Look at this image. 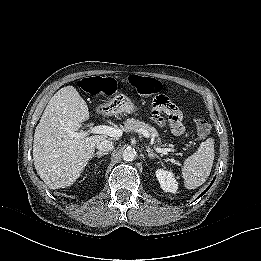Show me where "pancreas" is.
I'll use <instances>...</instances> for the list:
<instances>
[{
    "label": "pancreas",
    "instance_id": "pancreas-1",
    "mask_svg": "<svg viewBox=\"0 0 261 261\" xmlns=\"http://www.w3.org/2000/svg\"><path fill=\"white\" fill-rule=\"evenodd\" d=\"M124 128L128 132H135L139 129H143L147 131L153 139H156V142H160L157 130L151 125L146 124L142 121L136 120L134 118H129L124 122Z\"/></svg>",
    "mask_w": 261,
    "mask_h": 261
}]
</instances>
